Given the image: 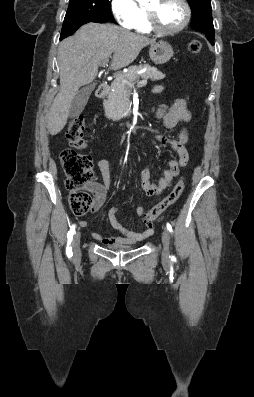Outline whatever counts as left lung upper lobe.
<instances>
[{
	"label": "left lung upper lobe",
	"mask_w": 254,
	"mask_h": 397,
	"mask_svg": "<svg viewBox=\"0 0 254 397\" xmlns=\"http://www.w3.org/2000/svg\"><path fill=\"white\" fill-rule=\"evenodd\" d=\"M192 10L190 26L207 35H214L212 8L210 0H187Z\"/></svg>",
	"instance_id": "left-lung-upper-lobe-1"
}]
</instances>
